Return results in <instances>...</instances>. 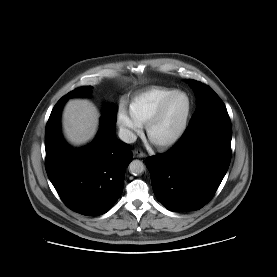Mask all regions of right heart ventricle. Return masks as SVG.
<instances>
[{
  "instance_id": "e07e8e85",
  "label": "right heart ventricle",
  "mask_w": 277,
  "mask_h": 277,
  "mask_svg": "<svg viewBox=\"0 0 277 277\" xmlns=\"http://www.w3.org/2000/svg\"><path fill=\"white\" fill-rule=\"evenodd\" d=\"M176 89L164 86H153L135 94L129 103L131 116L141 125H145L160 102Z\"/></svg>"
}]
</instances>
